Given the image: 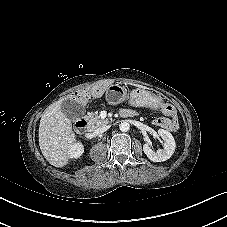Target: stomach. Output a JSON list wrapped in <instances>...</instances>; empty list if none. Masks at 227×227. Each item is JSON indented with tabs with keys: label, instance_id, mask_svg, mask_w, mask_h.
I'll return each mask as SVG.
<instances>
[{
	"label": "stomach",
	"instance_id": "obj_1",
	"mask_svg": "<svg viewBox=\"0 0 227 227\" xmlns=\"http://www.w3.org/2000/svg\"><path fill=\"white\" fill-rule=\"evenodd\" d=\"M108 97L112 104H119L125 100L135 107H148L152 109L159 108L162 103L161 99L149 91L143 89H134L129 94L127 91L118 85H110L107 89Z\"/></svg>",
	"mask_w": 227,
	"mask_h": 227
}]
</instances>
